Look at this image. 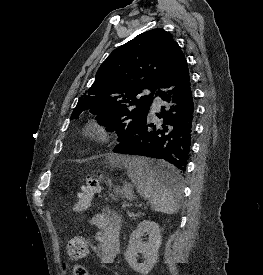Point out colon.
I'll list each match as a JSON object with an SVG mask.
<instances>
[{"mask_svg":"<svg viewBox=\"0 0 263 275\" xmlns=\"http://www.w3.org/2000/svg\"><path fill=\"white\" fill-rule=\"evenodd\" d=\"M101 194V183L98 179L89 178L86 181L77 201L74 203L76 212L87 211L93 204L95 198ZM91 240L85 236H75L67 244L66 254L70 261H80L84 259L90 249ZM73 275H89L87 269L80 264L73 268Z\"/></svg>","mask_w":263,"mask_h":275,"instance_id":"1","label":"colon"}]
</instances>
